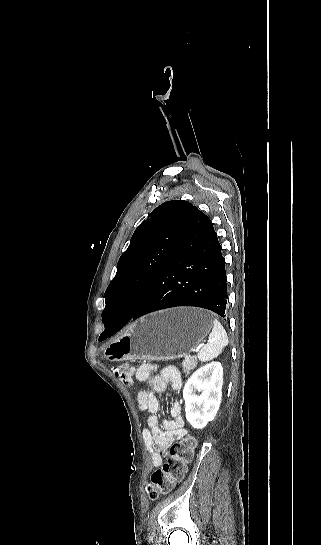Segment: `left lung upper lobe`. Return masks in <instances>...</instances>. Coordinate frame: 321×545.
Listing matches in <instances>:
<instances>
[{
    "label": "left lung upper lobe",
    "mask_w": 321,
    "mask_h": 545,
    "mask_svg": "<svg viewBox=\"0 0 321 545\" xmlns=\"http://www.w3.org/2000/svg\"><path fill=\"white\" fill-rule=\"evenodd\" d=\"M195 208L187 201H168L155 208L151 218L137 227L105 292L103 323L113 310L130 313L142 302L165 267Z\"/></svg>",
    "instance_id": "5c2ea615"
}]
</instances>
